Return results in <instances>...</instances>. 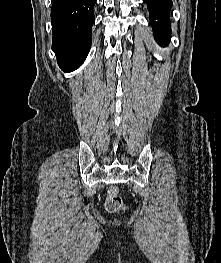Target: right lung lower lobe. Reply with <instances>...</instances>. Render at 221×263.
I'll return each instance as SVG.
<instances>
[{
  "instance_id": "98d812e1",
  "label": "right lung lower lobe",
  "mask_w": 221,
  "mask_h": 263,
  "mask_svg": "<svg viewBox=\"0 0 221 263\" xmlns=\"http://www.w3.org/2000/svg\"><path fill=\"white\" fill-rule=\"evenodd\" d=\"M96 0H53L52 50L64 71L77 69L91 47Z\"/></svg>"
}]
</instances>
